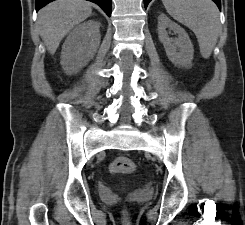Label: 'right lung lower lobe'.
<instances>
[{
  "instance_id": "98d812e1",
  "label": "right lung lower lobe",
  "mask_w": 245,
  "mask_h": 225,
  "mask_svg": "<svg viewBox=\"0 0 245 225\" xmlns=\"http://www.w3.org/2000/svg\"><path fill=\"white\" fill-rule=\"evenodd\" d=\"M51 1L54 0H36L35 1L36 11H38L41 7L45 6ZM89 1L98 4L108 16H111V0H89Z\"/></svg>"
}]
</instances>
